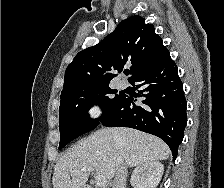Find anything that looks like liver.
Listing matches in <instances>:
<instances>
[{
    "label": "liver",
    "mask_w": 224,
    "mask_h": 188,
    "mask_svg": "<svg viewBox=\"0 0 224 188\" xmlns=\"http://www.w3.org/2000/svg\"><path fill=\"white\" fill-rule=\"evenodd\" d=\"M170 154L167 144L156 136L130 128H102L59 159L54 168L53 188H86L90 171L71 175L74 171L93 167L98 175L110 180L122 163L135 167L166 160Z\"/></svg>",
    "instance_id": "obj_1"
}]
</instances>
